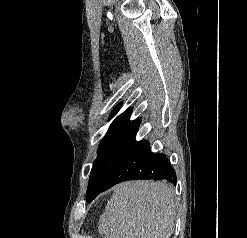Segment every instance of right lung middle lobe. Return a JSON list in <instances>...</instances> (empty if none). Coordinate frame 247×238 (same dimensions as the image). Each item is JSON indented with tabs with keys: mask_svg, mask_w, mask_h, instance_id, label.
Here are the masks:
<instances>
[{
	"mask_svg": "<svg viewBox=\"0 0 247 238\" xmlns=\"http://www.w3.org/2000/svg\"><path fill=\"white\" fill-rule=\"evenodd\" d=\"M140 121L120 122L110 126L98 148V157L90 174L86 200L92 201L104 188L111 174L135 142Z\"/></svg>",
	"mask_w": 247,
	"mask_h": 238,
	"instance_id": "right-lung-middle-lobe-1",
	"label": "right lung middle lobe"
}]
</instances>
